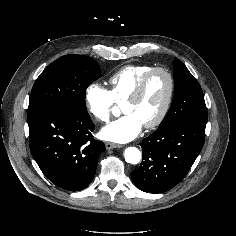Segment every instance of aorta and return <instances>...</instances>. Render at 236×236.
<instances>
[{"label": "aorta", "instance_id": "obj_1", "mask_svg": "<svg viewBox=\"0 0 236 236\" xmlns=\"http://www.w3.org/2000/svg\"><path fill=\"white\" fill-rule=\"evenodd\" d=\"M124 157L127 163L138 164L141 160V152L136 147H128L125 149Z\"/></svg>", "mask_w": 236, "mask_h": 236}]
</instances>
